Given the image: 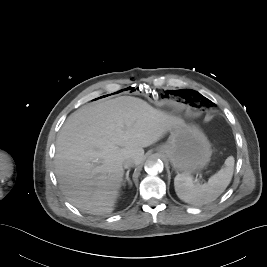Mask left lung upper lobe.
<instances>
[{
    "label": "left lung upper lobe",
    "mask_w": 267,
    "mask_h": 267,
    "mask_svg": "<svg viewBox=\"0 0 267 267\" xmlns=\"http://www.w3.org/2000/svg\"><path fill=\"white\" fill-rule=\"evenodd\" d=\"M182 95H186L187 96V98L189 99V97H188V95L187 94H184V93H182ZM200 97H202V101H201V103H204V102H206V103H211V104H214V103H212L210 100H208L207 98H205V97H203V96H201L200 94H198ZM196 96V99L194 100V101H197V99H198V96L197 95H195Z\"/></svg>",
    "instance_id": "left-lung-upper-lobe-1"
}]
</instances>
